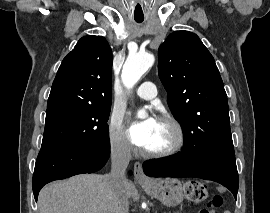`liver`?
Wrapping results in <instances>:
<instances>
[{
  "label": "liver",
  "instance_id": "liver-1",
  "mask_svg": "<svg viewBox=\"0 0 270 213\" xmlns=\"http://www.w3.org/2000/svg\"><path fill=\"white\" fill-rule=\"evenodd\" d=\"M127 201L134 185L124 184ZM119 199L107 175L83 174L45 186L39 193V213H115Z\"/></svg>",
  "mask_w": 270,
  "mask_h": 213
}]
</instances>
